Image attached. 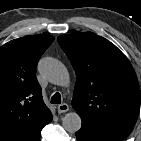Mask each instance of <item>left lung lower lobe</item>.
<instances>
[{
	"instance_id": "left-lung-lower-lobe-1",
	"label": "left lung lower lobe",
	"mask_w": 141,
	"mask_h": 141,
	"mask_svg": "<svg viewBox=\"0 0 141 141\" xmlns=\"http://www.w3.org/2000/svg\"><path fill=\"white\" fill-rule=\"evenodd\" d=\"M76 137L78 141H121L101 136L85 127H81V129L76 132Z\"/></svg>"
}]
</instances>
